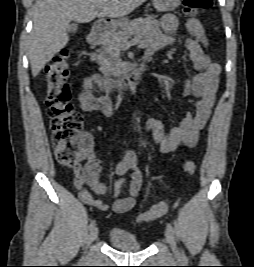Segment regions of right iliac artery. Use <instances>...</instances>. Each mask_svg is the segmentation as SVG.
I'll use <instances>...</instances> for the list:
<instances>
[{"instance_id": "right-iliac-artery-1", "label": "right iliac artery", "mask_w": 254, "mask_h": 267, "mask_svg": "<svg viewBox=\"0 0 254 267\" xmlns=\"http://www.w3.org/2000/svg\"><path fill=\"white\" fill-rule=\"evenodd\" d=\"M96 222L93 220L91 221L90 225H89V228L92 229L94 226H95Z\"/></svg>"}]
</instances>
